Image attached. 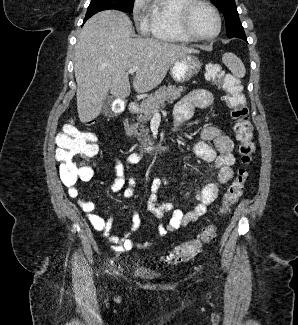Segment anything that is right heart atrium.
<instances>
[{
	"label": "right heart atrium",
	"mask_w": 298,
	"mask_h": 325,
	"mask_svg": "<svg viewBox=\"0 0 298 325\" xmlns=\"http://www.w3.org/2000/svg\"><path fill=\"white\" fill-rule=\"evenodd\" d=\"M146 4L142 0H137L134 3L132 10V19L136 23L143 24L145 21L144 11ZM139 32H143L144 37H153L154 31L152 30V25H139Z\"/></svg>",
	"instance_id": "right-heart-atrium-1"
}]
</instances>
